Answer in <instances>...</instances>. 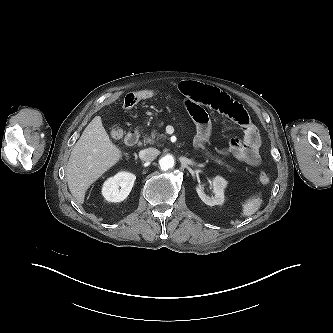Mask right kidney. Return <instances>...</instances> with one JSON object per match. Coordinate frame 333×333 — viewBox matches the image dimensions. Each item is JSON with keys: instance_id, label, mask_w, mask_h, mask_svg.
Listing matches in <instances>:
<instances>
[{"instance_id": "1", "label": "right kidney", "mask_w": 333, "mask_h": 333, "mask_svg": "<svg viewBox=\"0 0 333 333\" xmlns=\"http://www.w3.org/2000/svg\"><path fill=\"white\" fill-rule=\"evenodd\" d=\"M136 176L128 172H119L105 181L102 195L109 202H121L130 193Z\"/></svg>"}]
</instances>
